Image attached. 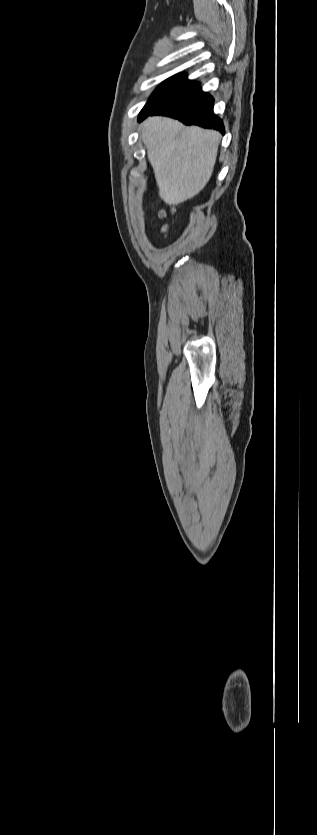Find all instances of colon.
Instances as JSON below:
<instances>
[{"instance_id": "colon-1", "label": "colon", "mask_w": 317, "mask_h": 835, "mask_svg": "<svg viewBox=\"0 0 317 835\" xmlns=\"http://www.w3.org/2000/svg\"><path fill=\"white\" fill-rule=\"evenodd\" d=\"M173 213H174V210H173V209H170V210H165V209H162V210H160V212H159V216H160V218H162V219H166V218H168L170 215H172ZM168 228H169V225H168V224H166V225L164 226V229L166 230V229H168Z\"/></svg>"}]
</instances>
